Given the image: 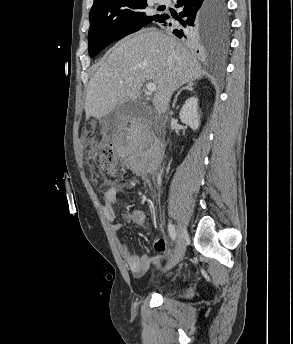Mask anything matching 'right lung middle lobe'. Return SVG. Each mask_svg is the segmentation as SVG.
I'll use <instances>...</instances> for the list:
<instances>
[{
    "instance_id": "obj_1",
    "label": "right lung middle lobe",
    "mask_w": 293,
    "mask_h": 344,
    "mask_svg": "<svg viewBox=\"0 0 293 344\" xmlns=\"http://www.w3.org/2000/svg\"><path fill=\"white\" fill-rule=\"evenodd\" d=\"M146 7L147 0H119L91 10L88 32L89 55L96 56L110 43L140 30L161 17L146 15ZM214 19L223 34L228 26L225 0H216Z\"/></svg>"
}]
</instances>
